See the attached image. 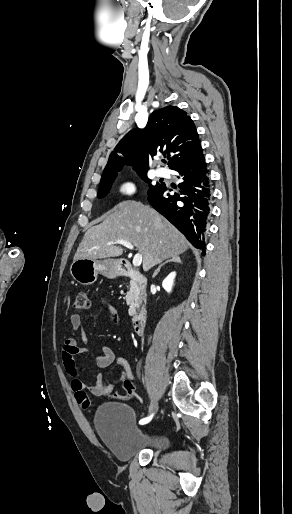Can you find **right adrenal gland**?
I'll return each instance as SVG.
<instances>
[{"label": "right adrenal gland", "instance_id": "obj_1", "mask_svg": "<svg viewBox=\"0 0 292 514\" xmlns=\"http://www.w3.org/2000/svg\"><path fill=\"white\" fill-rule=\"evenodd\" d=\"M168 262H176V264H182L179 256H175V258H171V260H167V262H164V264H161V266H159V268H157V270H155L152 278H155V276H157L158 272H160L162 266H165V264H168Z\"/></svg>", "mask_w": 292, "mask_h": 514}]
</instances>
